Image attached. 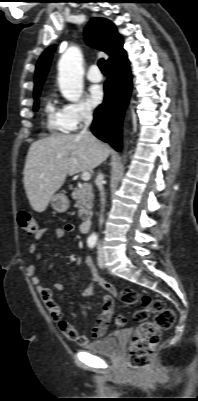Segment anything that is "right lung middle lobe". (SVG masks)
<instances>
[{
    "label": "right lung middle lobe",
    "instance_id": "dd1d6c3e",
    "mask_svg": "<svg viewBox=\"0 0 198 401\" xmlns=\"http://www.w3.org/2000/svg\"><path fill=\"white\" fill-rule=\"evenodd\" d=\"M39 95H40V93L34 95V99H35L34 111H37V110H38V104H39L38 97H39Z\"/></svg>",
    "mask_w": 198,
    "mask_h": 401
}]
</instances>
